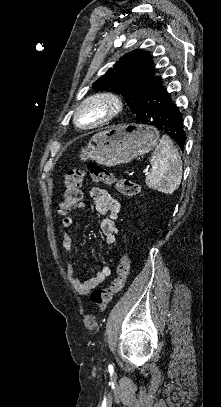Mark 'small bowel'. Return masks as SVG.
I'll return each instance as SVG.
<instances>
[{
    "label": "small bowel",
    "instance_id": "c3829d8e",
    "mask_svg": "<svg viewBox=\"0 0 221 407\" xmlns=\"http://www.w3.org/2000/svg\"><path fill=\"white\" fill-rule=\"evenodd\" d=\"M90 196L94 201L96 211L100 214L106 215L100 223V229L105 242L112 245L116 242L118 236L116 222L120 213V202L113 198L106 190L98 187L90 189ZM85 206V203L80 202L74 207V209L83 208ZM73 224L74 221L71 217H64L62 219V226L64 229L71 228ZM61 244L70 256V259L67 262V275L72 288L78 294H89L97 286L103 284L111 275L110 265L104 264L94 277L83 281L75 274L73 239L65 230H63L61 234Z\"/></svg>",
    "mask_w": 221,
    "mask_h": 407
}]
</instances>
